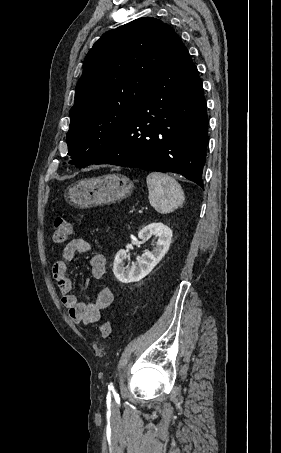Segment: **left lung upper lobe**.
Listing matches in <instances>:
<instances>
[{
  "label": "left lung upper lobe",
  "instance_id": "1",
  "mask_svg": "<svg viewBox=\"0 0 281 453\" xmlns=\"http://www.w3.org/2000/svg\"><path fill=\"white\" fill-rule=\"evenodd\" d=\"M177 34L144 17L108 31L88 52L70 110L69 163L85 167L122 132L167 61Z\"/></svg>",
  "mask_w": 281,
  "mask_h": 453
}]
</instances>
